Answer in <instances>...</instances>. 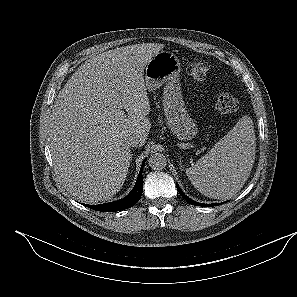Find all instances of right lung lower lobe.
<instances>
[{
  "label": "right lung lower lobe",
  "mask_w": 297,
  "mask_h": 297,
  "mask_svg": "<svg viewBox=\"0 0 297 297\" xmlns=\"http://www.w3.org/2000/svg\"><path fill=\"white\" fill-rule=\"evenodd\" d=\"M144 163H145V160L142 163L140 174L138 175V178L133 190L125 198L120 199L118 201L101 204V205H85V206L93 210L102 211V212L120 211L134 206L139 201L141 194L143 192L142 172H143Z\"/></svg>",
  "instance_id": "98d812e1"
}]
</instances>
